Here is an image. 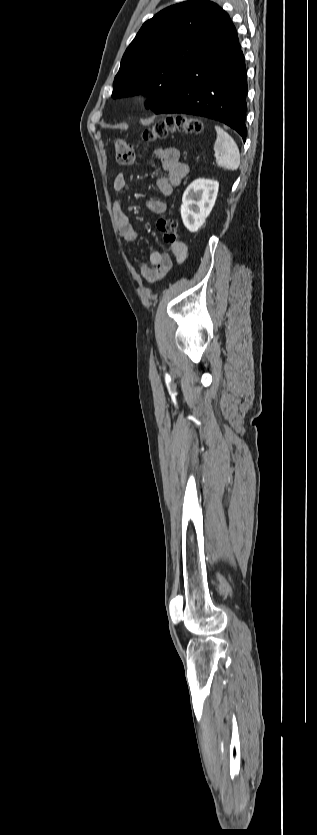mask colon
<instances>
[{
    "label": "colon",
    "instance_id": "5ec220e1",
    "mask_svg": "<svg viewBox=\"0 0 317 835\" xmlns=\"http://www.w3.org/2000/svg\"><path fill=\"white\" fill-rule=\"evenodd\" d=\"M201 124L192 117L168 118L157 121L150 128L143 132V139L146 142H154L167 137L174 131L196 134L201 131ZM116 159L120 164L133 165L138 160V154L134 147L123 138L115 141ZM157 228L165 242L175 244L178 242L177 221L167 215H161L157 220Z\"/></svg>",
    "mask_w": 317,
    "mask_h": 835
}]
</instances>
